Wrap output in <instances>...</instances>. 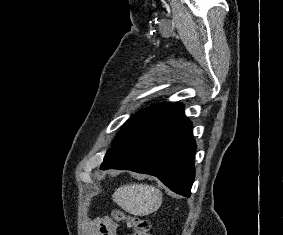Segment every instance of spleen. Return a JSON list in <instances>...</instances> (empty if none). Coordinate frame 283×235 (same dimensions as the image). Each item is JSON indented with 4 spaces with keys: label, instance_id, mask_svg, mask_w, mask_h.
Segmentation results:
<instances>
[{
    "label": "spleen",
    "instance_id": "3e777b00",
    "mask_svg": "<svg viewBox=\"0 0 283 235\" xmlns=\"http://www.w3.org/2000/svg\"><path fill=\"white\" fill-rule=\"evenodd\" d=\"M160 189L147 184H127L120 186L112 195L113 201L126 212L135 216H146L162 204Z\"/></svg>",
    "mask_w": 283,
    "mask_h": 235
}]
</instances>
